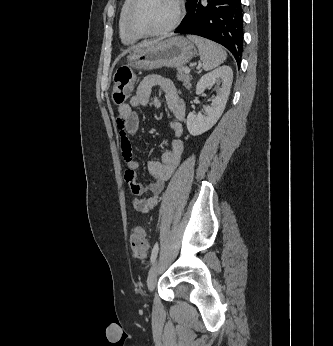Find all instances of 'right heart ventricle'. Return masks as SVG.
I'll use <instances>...</instances> for the list:
<instances>
[{"label": "right heart ventricle", "mask_w": 333, "mask_h": 346, "mask_svg": "<svg viewBox=\"0 0 333 346\" xmlns=\"http://www.w3.org/2000/svg\"><path fill=\"white\" fill-rule=\"evenodd\" d=\"M133 0H124L118 18V31L121 41L125 44L135 43L139 37L131 34L126 27V16Z\"/></svg>", "instance_id": "right-heart-ventricle-1"}]
</instances>
